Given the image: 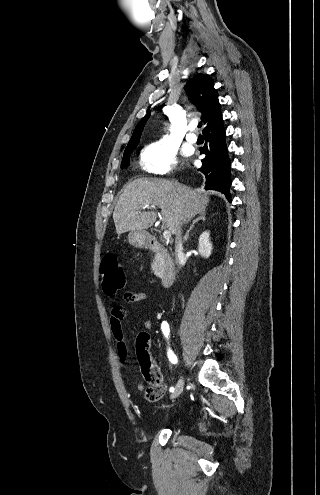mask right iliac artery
<instances>
[{"mask_svg": "<svg viewBox=\"0 0 320 495\" xmlns=\"http://www.w3.org/2000/svg\"><path fill=\"white\" fill-rule=\"evenodd\" d=\"M161 329H162V332H163L164 336L166 337V339H169L170 328H169V324L166 321H163L161 323ZM167 355H168L169 361L172 364L177 363V356L174 354V352L171 350L170 347L168 348ZM174 390H175L174 387H170V392H173Z\"/></svg>", "mask_w": 320, "mask_h": 495, "instance_id": "obj_1", "label": "right iliac artery"}]
</instances>
